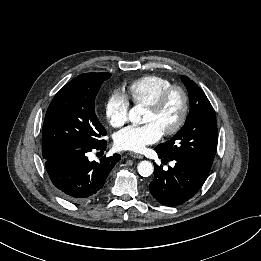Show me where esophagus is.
<instances>
[{"instance_id":"34e87169","label":"esophagus","mask_w":261,"mask_h":261,"mask_svg":"<svg viewBox=\"0 0 261 261\" xmlns=\"http://www.w3.org/2000/svg\"><path fill=\"white\" fill-rule=\"evenodd\" d=\"M129 155L133 158H137V159H142L143 155L138 154V153H134V152H130Z\"/></svg>"}]
</instances>
